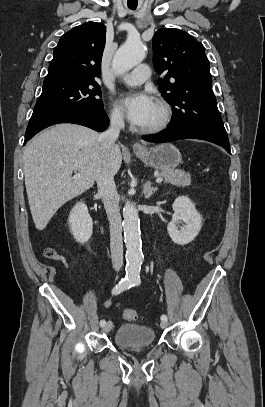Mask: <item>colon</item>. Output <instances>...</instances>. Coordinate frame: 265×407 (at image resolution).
Instances as JSON below:
<instances>
[{
    "label": "colon",
    "instance_id": "1",
    "mask_svg": "<svg viewBox=\"0 0 265 407\" xmlns=\"http://www.w3.org/2000/svg\"><path fill=\"white\" fill-rule=\"evenodd\" d=\"M45 255L49 259L60 260L61 256L53 248H47L45 250ZM123 317L126 321H136L142 319V317L137 313L136 310L126 309L123 313Z\"/></svg>",
    "mask_w": 265,
    "mask_h": 407
}]
</instances>
